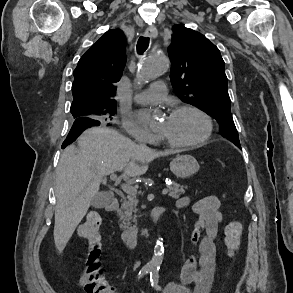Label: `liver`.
Segmentation results:
<instances>
[{"instance_id": "6515ba94", "label": "liver", "mask_w": 293, "mask_h": 293, "mask_svg": "<svg viewBox=\"0 0 293 293\" xmlns=\"http://www.w3.org/2000/svg\"><path fill=\"white\" fill-rule=\"evenodd\" d=\"M174 153L137 145L110 128L85 130L78 138V147L70 145L63 151L57 167L53 232L57 249L64 250L98 194L104 176L116 171H123L127 177L140 176L151 161Z\"/></svg>"}]
</instances>
